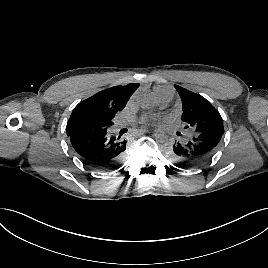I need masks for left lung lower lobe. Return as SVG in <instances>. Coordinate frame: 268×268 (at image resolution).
<instances>
[{"mask_svg":"<svg viewBox=\"0 0 268 268\" xmlns=\"http://www.w3.org/2000/svg\"><path fill=\"white\" fill-rule=\"evenodd\" d=\"M223 133L203 132L193 134L188 141H176L169 156L182 167H196L210 160L218 149Z\"/></svg>","mask_w":268,"mask_h":268,"instance_id":"1","label":"left lung lower lobe"}]
</instances>
